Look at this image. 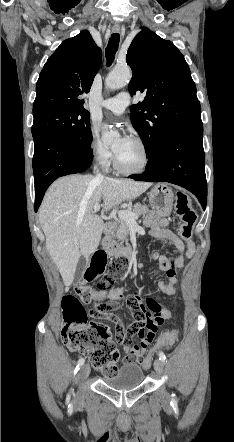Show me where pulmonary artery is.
Masks as SVG:
<instances>
[{
  "instance_id": "obj_1",
  "label": "pulmonary artery",
  "mask_w": 234,
  "mask_h": 442,
  "mask_svg": "<svg viewBox=\"0 0 234 442\" xmlns=\"http://www.w3.org/2000/svg\"><path fill=\"white\" fill-rule=\"evenodd\" d=\"M130 101L129 94L122 92L113 98L103 100L101 106L114 114L121 115L130 104Z\"/></svg>"
}]
</instances>
